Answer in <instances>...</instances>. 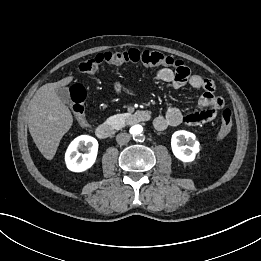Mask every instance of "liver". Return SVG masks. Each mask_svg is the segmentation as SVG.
<instances>
[{"label": "liver", "instance_id": "obj_1", "mask_svg": "<svg viewBox=\"0 0 261 261\" xmlns=\"http://www.w3.org/2000/svg\"><path fill=\"white\" fill-rule=\"evenodd\" d=\"M73 76L40 87L28 106L29 132L41 154L53 159L62 137L69 131L73 117L55 90L68 85Z\"/></svg>", "mask_w": 261, "mask_h": 261}]
</instances>
